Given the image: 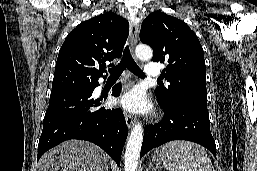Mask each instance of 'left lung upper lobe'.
<instances>
[{"mask_svg": "<svg viewBox=\"0 0 257 171\" xmlns=\"http://www.w3.org/2000/svg\"><path fill=\"white\" fill-rule=\"evenodd\" d=\"M140 40L152 47L153 61L168 63L163 76L170 85L155 89L158 100L207 104L203 48L186 23L161 11L153 12L142 23Z\"/></svg>", "mask_w": 257, "mask_h": 171, "instance_id": "left-lung-upper-lobe-1", "label": "left lung upper lobe"}]
</instances>
